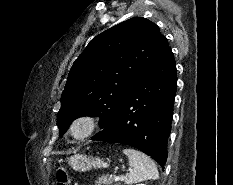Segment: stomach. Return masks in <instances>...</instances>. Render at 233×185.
I'll return each mask as SVG.
<instances>
[{
  "label": "stomach",
  "mask_w": 233,
  "mask_h": 185,
  "mask_svg": "<svg viewBox=\"0 0 233 185\" xmlns=\"http://www.w3.org/2000/svg\"><path fill=\"white\" fill-rule=\"evenodd\" d=\"M68 164L75 171L85 172L92 168L105 167L106 163L98 157L87 156L84 154H75L68 158Z\"/></svg>",
  "instance_id": "obj_1"
}]
</instances>
